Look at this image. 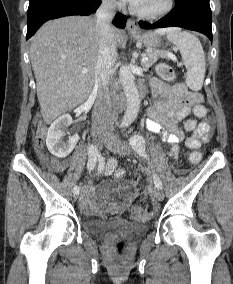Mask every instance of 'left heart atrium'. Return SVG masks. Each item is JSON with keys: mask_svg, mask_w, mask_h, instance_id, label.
Returning <instances> with one entry per match:
<instances>
[{"mask_svg": "<svg viewBox=\"0 0 233 284\" xmlns=\"http://www.w3.org/2000/svg\"><path fill=\"white\" fill-rule=\"evenodd\" d=\"M130 4H132L133 6H137L141 3L142 0H124Z\"/></svg>", "mask_w": 233, "mask_h": 284, "instance_id": "obj_1", "label": "left heart atrium"}]
</instances>
